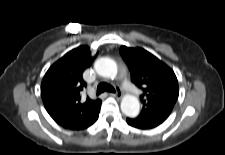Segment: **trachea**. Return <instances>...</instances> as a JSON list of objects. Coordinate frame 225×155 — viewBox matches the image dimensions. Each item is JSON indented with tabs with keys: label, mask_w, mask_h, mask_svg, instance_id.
<instances>
[{
	"label": "trachea",
	"mask_w": 225,
	"mask_h": 155,
	"mask_svg": "<svg viewBox=\"0 0 225 155\" xmlns=\"http://www.w3.org/2000/svg\"><path fill=\"white\" fill-rule=\"evenodd\" d=\"M105 91L115 93L114 87H112L110 84L102 82L97 87V95H99V94H101V93H103Z\"/></svg>",
	"instance_id": "3493384b"
}]
</instances>
